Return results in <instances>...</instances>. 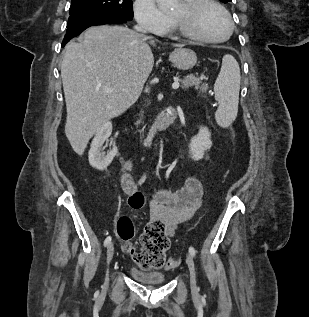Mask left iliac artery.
Instances as JSON below:
<instances>
[{
    "mask_svg": "<svg viewBox=\"0 0 309 317\" xmlns=\"http://www.w3.org/2000/svg\"><path fill=\"white\" fill-rule=\"evenodd\" d=\"M189 253L191 254V256L192 257H194L195 256V254H196V250L194 249V247H189Z\"/></svg>",
    "mask_w": 309,
    "mask_h": 317,
    "instance_id": "44dca946",
    "label": "left iliac artery"
}]
</instances>
